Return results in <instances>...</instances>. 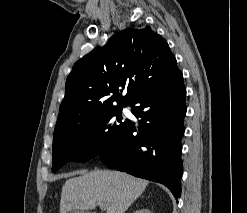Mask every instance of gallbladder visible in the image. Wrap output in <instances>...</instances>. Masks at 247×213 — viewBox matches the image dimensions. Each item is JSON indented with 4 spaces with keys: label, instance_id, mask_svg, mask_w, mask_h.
<instances>
[{
    "label": "gallbladder",
    "instance_id": "gallbladder-1",
    "mask_svg": "<svg viewBox=\"0 0 247 213\" xmlns=\"http://www.w3.org/2000/svg\"><path fill=\"white\" fill-rule=\"evenodd\" d=\"M71 213H89V212H84V211L75 210V211H72Z\"/></svg>",
    "mask_w": 247,
    "mask_h": 213
}]
</instances>
